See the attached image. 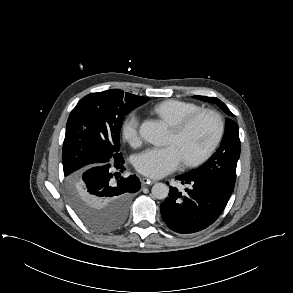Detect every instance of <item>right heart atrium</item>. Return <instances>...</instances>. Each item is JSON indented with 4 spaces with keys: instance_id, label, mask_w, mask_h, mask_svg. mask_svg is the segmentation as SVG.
I'll list each match as a JSON object with an SVG mask.
<instances>
[{
    "instance_id": "right-heart-atrium-1",
    "label": "right heart atrium",
    "mask_w": 293,
    "mask_h": 293,
    "mask_svg": "<svg viewBox=\"0 0 293 293\" xmlns=\"http://www.w3.org/2000/svg\"><path fill=\"white\" fill-rule=\"evenodd\" d=\"M140 117L135 112L128 114L122 123V137L131 145H137L140 141Z\"/></svg>"
}]
</instances>
